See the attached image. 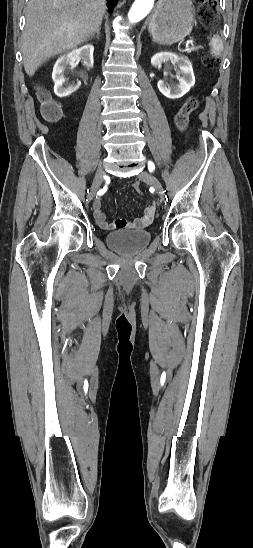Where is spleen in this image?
<instances>
[{"mask_svg":"<svg viewBox=\"0 0 253 548\" xmlns=\"http://www.w3.org/2000/svg\"><path fill=\"white\" fill-rule=\"evenodd\" d=\"M210 46L212 47V54L215 56H220L223 52V42L219 35H214L210 41Z\"/></svg>","mask_w":253,"mask_h":548,"instance_id":"1","label":"spleen"}]
</instances>
